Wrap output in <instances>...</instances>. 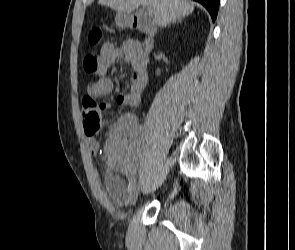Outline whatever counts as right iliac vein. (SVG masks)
<instances>
[{"instance_id": "obj_1", "label": "right iliac vein", "mask_w": 295, "mask_h": 250, "mask_svg": "<svg viewBox=\"0 0 295 250\" xmlns=\"http://www.w3.org/2000/svg\"><path fill=\"white\" fill-rule=\"evenodd\" d=\"M137 199H138V189L133 188V190L130 192V194L127 197V204L131 207L135 205Z\"/></svg>"}]
</instances>
